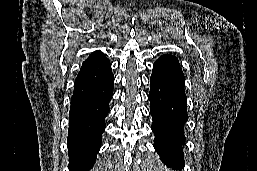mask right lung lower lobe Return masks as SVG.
I'll use <instances>...</instances> for the list:
<instances>
[{
	"label": "right lung lower lobe",
	"mask_w": 257,
	"mask_h": 171,
	"mask_svg": "<svg viewBox=\"0 0 257 171\" xmlns=\"http://www.w3.org/2000/svg\"><path fill=\"white\" fill-rule=\"evenodd\" d=\"M110 61L83 63L75 79L67 146L70 171H89L99 152L113 95Z\"/></svg>",
	"instance_id": "1"
}]
</instances>
